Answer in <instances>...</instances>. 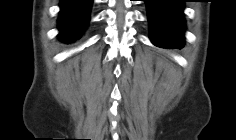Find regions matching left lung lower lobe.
I'll return each mask as SVG.
<instances>
[{
	"label": "left lung lower lobe",
	"instance_id": "0a47b994",
	"mask_svg": "<svg viewBox=\"0 0 236 140\" xmlns=\"http://www.w3.org/2000/svg\"><path fill=\"white\" fill-rule=\"evenodd\" d=\"M185 0H145L150 39L161 48L181 49L184 38Z\"/></svg>",
	"mask_w": 236,
	"mask_h": 140
}]
</instances>
